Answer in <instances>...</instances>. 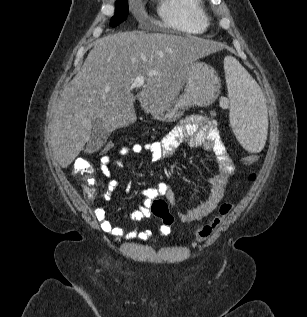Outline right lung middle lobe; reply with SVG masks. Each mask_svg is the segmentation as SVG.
<instances>
[{"label": "right lung middle lobe", "mask_w": 307, "mask_h": 317, "mask_svg": "<svg viewBox=\"0 0 307 317\" xmlns=\"http://www.w3.org/2000/svg\"><path fill=\"white\" fill-rule=\"evenodd\" d=\"M128 16V2L117 1L115 5V15L111 18V26L115 27L119 23L123 22Z\"/></svg>", "instance_id": "1"}]
</instances>
